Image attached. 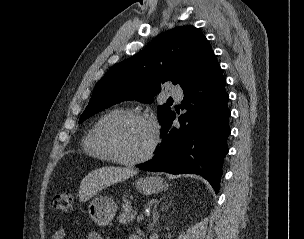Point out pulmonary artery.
Segmentation results:
<instances>
[{
	"mask_svg": "<svg viewBox=\"0 0 304 239\" xmlns=\"http://www.w3.org/2000/svg\"><path fill=\"white\" fill-rule=\"evenodd\" d=\"M170 95L174 97L175 99H181L183 97V92L181 89L173 88L170 91Z\"/></svg>",
	"mask_w": 304,
	"mask_h": 239,
	"instance_id": "pulmonary-artery-1",
	"label": "pulmonary artery"
}]
</instances>
